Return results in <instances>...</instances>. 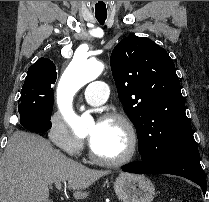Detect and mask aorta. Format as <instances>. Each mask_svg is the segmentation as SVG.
I'll return each mask as SVG.
<instances>
[{
	"label": "aorta",
	"instance_id": "obj_1",
	"mask_svg": "<svg viewBox=\"0 0 209 202\" xmlns=\"http://www.w3.org/2000/svg\"><path fill=\"white\" fill-rule=\"evenodd\" d=\"M104 70V64L75 54L58 84V106L62 116L75 134L85 133L93 123L88 114L78 116L71 105L75 93L86 83L95 80Z\"/></svg>",
	"mask_w": 209,
	"mask_h": 202
}]
</instances>
